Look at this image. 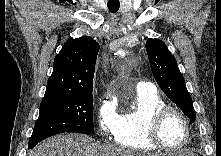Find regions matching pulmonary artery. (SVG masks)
<instances>
[{
  "instance_id": "1",
  "label": "pulmonary artery",
  "mask_w": 221,
  "mask_h": 156,
  "mask_svg": "<svg viewBox=\"0 0 221 156\" xmlns=\"http://www.w3.org/2000/svg\"><path fill=\"white\" fill-rule=\"evenodd\" d=\"M137 91L146 92V91H155V87L150 82L140 81L137 84Z\"/></svg>"
}]
</instances>
